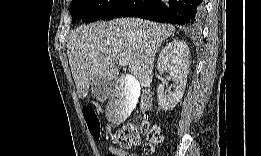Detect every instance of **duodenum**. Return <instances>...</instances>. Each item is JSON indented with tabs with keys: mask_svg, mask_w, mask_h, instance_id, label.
<instances>
[{
	"mask_svg": "<svg viewBox=\"0 0 261 156\" xmlns=\"http://www.w3.org/2000/svg\"><path fill=\"white\" fill-rule=\"evenodd\" d=\"M150 95L147 93L146 96H145V105H148V103L150 102Z\"/></svg>",
	"mask_w": 261,
	"mask_h": 156,
	"instance_id": "obj_1",
	"label": "duodenum"
}]
</instances>
